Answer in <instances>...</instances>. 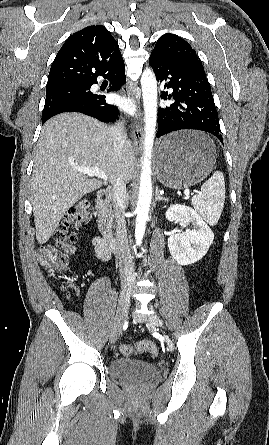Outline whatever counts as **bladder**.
Listing matches in <instances>:
<instances>
[{
    "label": "bladder",
    "mask_w": 269,
    "mask_h": 445,
    "mask_svg": "<svg viewBox=\"0 0 269 445\" xmlns=\"http://www.w3.org/2000/svg\"><path fill=\"white\" fill-rule=\"evenodd\" d=\"M110 374L122 381L149 380L154 378L159 369L156 365L131 359H116L110 364Z\"/></svg>",
    "instance_id": "31cf9c89"
}]
</instances>
